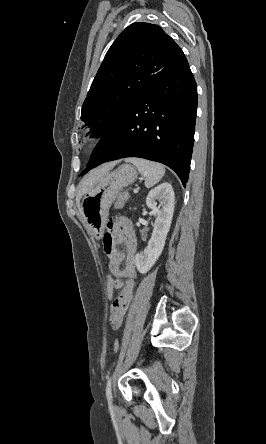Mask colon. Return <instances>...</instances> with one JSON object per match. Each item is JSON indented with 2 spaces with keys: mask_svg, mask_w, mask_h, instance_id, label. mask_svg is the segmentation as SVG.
<instances>
[{
  "mask_svg": "<svg viewBox=\"0 0 266 444\" xmlns=\"http://www.w3.org/2000/svg\"><path fill=\"white\" fill-rule=\"evenodd\" d=\"M127 199H128V193L127 192L121 193L114 204L115 207L116 208L122 207ZM105 287H106L107 297L110 300L113 299L117 287H116V277L112 273L107 275L105 280ZM119 348H120V343L118 340H115L113 343V351L117 352Z\"/></svg>",
  "mask_w": 266,
  "mask_h": 444,
  "instance_id": "5ec220e1",
  "label": "colon"
}]
</instances>
